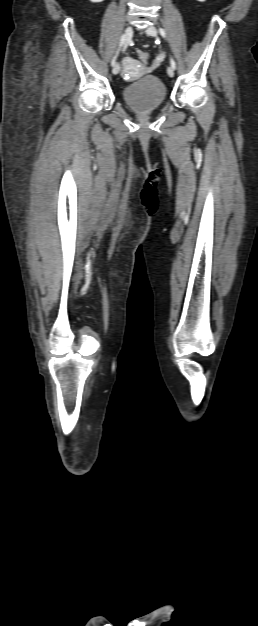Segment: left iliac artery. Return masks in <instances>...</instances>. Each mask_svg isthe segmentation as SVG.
Segmentation results:
<instances>
[{
    "label": "left iliac artery",
    "instance_id": "left-iliac-artery-1",
    "mask_svg": "<svg viewBox=\"0 0 258 626\" xmlns=\"http://www.w3.org/2000/svg\"><path fill=\"white\" fill-rule=\"evenodd\" d=\"M159 32H160V34H161V36L163 38H166V32H165V30L163 28H159ZM170 64H171V67L175 70L176 69V62L174 61V59L172 57L170 59Z\"/></svg>",
    "mask_w": 258,
    "mask_h": 626
}]
</instances>
